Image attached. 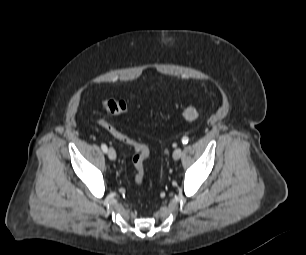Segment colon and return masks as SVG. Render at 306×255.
Wrapping results in <instances>:
<instances>
[{"label":"colon","mask_w":306,"mask_h":255,"mask_svg":"<svg viewBox=\"0 0 306 255\" xmlns=\"http://www.w3.org/2000/svg\"><path fill=\"white\" fill-rule=\"evenodd\" d=\"M131 105L123 100L111 98L105 100L102 103V111L107 112L112 115H123L131 111ZM98 112L97 122L98 124L107 131L114 138L124 142L125 144L131 146L134 150V155L132 162L135 168L134 181L136 185L141 186L145 176L144 163L150 155V149L145 143L136 140L124 132L120 131L112 124L104 120ZM182 116L188 121H196L199 118V111L196 107L192 105H183L181 107Z\"/></svg>","instance_id":"obj_1"}]
</instances>
